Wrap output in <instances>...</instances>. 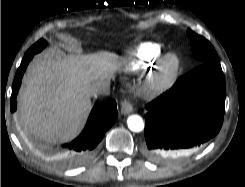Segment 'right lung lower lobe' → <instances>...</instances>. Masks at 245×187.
<instances>
[{"label":"right lung lower lobe","mask_w":245,"mask_h":187,"mask_svg":"<svg viewBox=\"0 0 245 187\" xmlns=\"http://www.w3.org/2000/svg\"><path fill=\"white\" fill-rule=\"evenodd\" d=\"M34 54L36 53H26L20 67L17 69L10 99L11 112L16 110V96L21 85L22 76ZM117 116V104L112 99L93 108L80 136L71 143L63 145L66 161L75 165L90 161L95 156L98 144L104 137L105 132L115 123Z\"/></svg>","instance_id":"1"}]
</instances>
